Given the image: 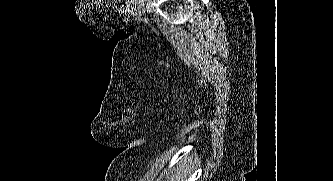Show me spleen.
Listing matches in <instances>:
<instances>
[{
    "mask_svg": "<svg viewBox=\"0 0 333 181\" xmlns=\"http://www.w3.org/2000/svg\"><path fill=\"white\" fill-rule=\"evenodd\" d=\"M191 174V167L187 163L181 165V176L187 178ZM183 181V180H182Z\"/></svg>",
    "mask_w": 333,
    "mask_h": 181,
    "instance_id": "spleen-1",
    "label": "spleen"
}]
</instances>
